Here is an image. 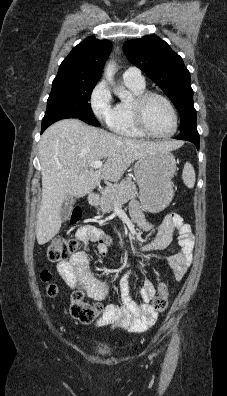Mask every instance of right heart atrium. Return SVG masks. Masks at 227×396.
Here are the masks:
<instances>
[{
  "instance_id": "d8ad5b80",
  "label": "right heart atrium",
  "mask_w": 227,
  "mask_h": 396,
  "mask_svg": "<svg viewBox=\"0 0 227 396\" xmlns=\"http://www.w3.org/2000/svg\"><path fill=\"white\" fill-rule=\"evenodd\" d=\"M89 103L95 117L101 121L108 120L112 112V96L105 82H98L93 88Z\"/></svg>"
}]
</instances>
